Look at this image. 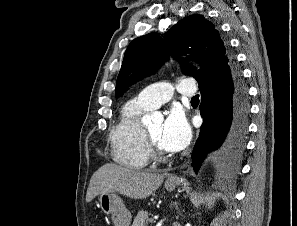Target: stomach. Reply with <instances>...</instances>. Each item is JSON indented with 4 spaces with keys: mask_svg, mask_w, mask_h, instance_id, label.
Segmentation results:
<instances>
[{
    "mask_svg": "<svg viewBox=\"0 0 297 226\" xmlns=\"http://www.w3.org/2000/svg\"><path fill=\"white\" fill-rule=\"evenodd\" d=\"M176 187L175 182H166L165 188L173 191ZM99 207L107 214L111 215L115 226H129L131 223V213L125 207L123 200L115 193H102L99 196Z\"/></svg>",
    "mask_w": 297,
    "mask_h": 226,
    "instance_id": "stomach-1",
    "label": "stomach"
}]
</instances>
